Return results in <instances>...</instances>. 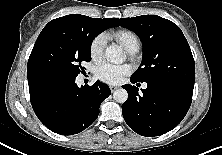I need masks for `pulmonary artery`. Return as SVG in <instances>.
Listing matches in <instances>:
<instances>
[{
  "label": "pulmonary artery",
  "mask_w": 222,
  "mask_h": 155,
  "mask_svg": "<svg viewBox=\"0 0 222 155\" xmlns=\"http://www.w3.org/2000/svg\"><path fill=\"white\" fill-rule=\"evenodd\" d=\"M146 87H147V85H146V84H144V85H143V88H146Z\"/></svg>",
  "instance_id": "obj_1"
}]
</instances>
